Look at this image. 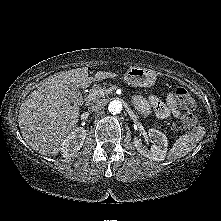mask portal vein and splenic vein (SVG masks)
<instances>
[{
    "label": "portal vein and splenic vein",
    "instance_id": "obj_1",
    "mask_svg": "<svg viewBox=\"0 0 221 221\" xmlns=\"http://www.w3.org/2000/svg\"><path fill=\"white\" fill-rule=\"evenodd\" d=\"M111 91V89H99L94 91L93 93H90L88 98L89 100H93L97 97H101L104 96L105 94L109 93Z\"/></svg>",
    "mask_w": 221,
    "mask_h": 221
}]
</instances>
